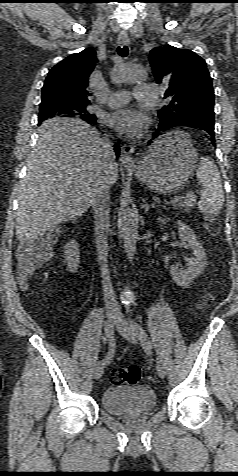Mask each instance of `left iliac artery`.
<instances>
[{"mask_svg":"<svg viewBox=\"0 0 238 476\" xmlns=\"http://www.w3.org/2000/svg\"><path fill=\"white\" fill-rule=\"evenodd\" d=\"M135 333L144 348H152L153 344L145 330L137 323H134Z\"/></svg>","mask_w":238,"mask_h":476,"instance_id":"left-iliac-artery-1","label":"left iliac artery"}]
</instances>
